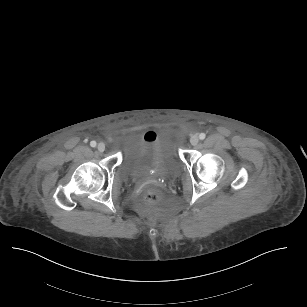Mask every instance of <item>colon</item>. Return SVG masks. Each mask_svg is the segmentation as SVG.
Listing matches in <instances>:
<instances>
[{
    "instance_id": "obj_1",
    "label": "colon",
    "mask_w": 307,
    "mask_h": 307,
    "mask_svg": "<svg viewBox=\"0 0 307 307\" xmlns=\"http://www.w3.org/2000/svg\"><path fill=\"white\" fill-rule=\"evenodd\" d=\"M145 141L153 142L158 138V134L155 131H147L143 134ZM142 201L146 205L157 206L162 201V191L155 186H148L142 194Z\"/></svg>"
}]
</instances>
